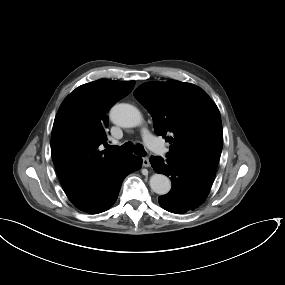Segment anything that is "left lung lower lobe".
<instances>
[{
	"label": "left lung lower lobe",
	"instance_id": "left-lung-lower-lobe-1",
	"mask_svg": "<svg viewBox=\"0 0 285 285\" xmlns=\"http://www.w3.org/2000/svg\"><path fill=\"white\" fill-rule=\"evenodd\" d=\"M150 163L157 173L170 176L171 191L158 198L160 206L172 213L183 214L199 207L210 192L215 173L202 168L152 156Z\"/></svg>",
	"mask_w": 285,
	"mask_h": 285
}]
</instances>
